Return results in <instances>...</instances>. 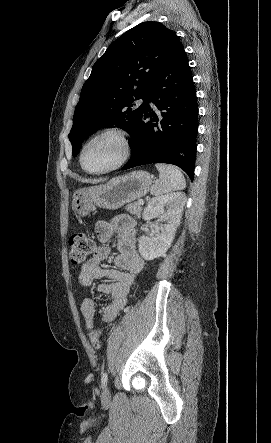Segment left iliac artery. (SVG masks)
<instances>
[{
    "label": "left iliac artery",
    "instance_id": "1",
    "mask_svg": "<svg viewBox=\"0 0 271 443\" xmlns=\"http://www.w3.org/2000/svg\"><path fill=\"white\" fill-rule=\"evenodd\" d=\"M107 381H108V375H107L106 372H103L102 376H101V386H102V388H104L107 385Z\"/></svg>",
    "mask_w": 271,
    "mask_h": 443
}]
</instances>
